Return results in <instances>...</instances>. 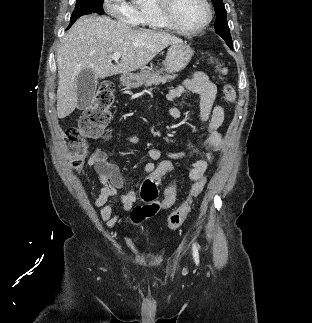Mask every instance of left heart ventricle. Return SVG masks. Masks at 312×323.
Here are the masks:
<instances>
[{"mask_svg":"<svg viewBox=\"0 0 312 323\" xmlns=\"http://www.w3.org/2000/svg\"><path fill=\"white\" fill-rule=\"evenodd\" d=\"M168 12L181 22H193L194 18H206L209 7H204L202 0H171Z\"/></svg>","mask_w":312,"mask_h":323,"instance_id":"1","label":"left heart ventricle"}]
</instances>
